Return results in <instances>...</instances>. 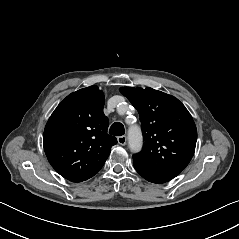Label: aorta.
I'll use <instances>...</instances> for the list:
<instances>
[{"instance_id":"aorta-1","label":"aorta","mask_w":239,"mask_h":239,"mask_svg":"<svg viewBox=\"0 0 239 239\" xmlns=\"http://www.w3.org/2000/svg\"><path fill=\"white\" fill-rule=\"evenodd\" d=\"M130 135V147L134 150L139 149L141 143V135L138 130L132 129Z\"/></svg>"}]
</instances>
